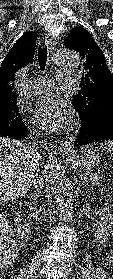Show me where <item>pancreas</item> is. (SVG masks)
I'll return each instance as SVG.
<instances>
[{
    "label": "pancreas",
    "mask_w": 113,
    "mask_h": 279,
    "mask_svg": "<svg viewBox=\"0 0 113 279\" xmlns=\"http://www.w3.org/2000/svg\"><path fill=\"white\" fill-rule=\"evenodd\" d=\"M81 178L84 179L86 182H89L94 185H100L102 177L95 175V174H90V173H81Z\"/></svg>",
    "instance_id": "cf45deb5"
}]
</instances>
